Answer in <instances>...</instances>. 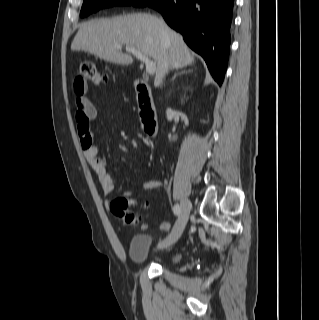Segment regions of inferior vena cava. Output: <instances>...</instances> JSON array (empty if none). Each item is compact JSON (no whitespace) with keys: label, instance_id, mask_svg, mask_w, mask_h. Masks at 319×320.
Listing matches in <instances>:
<instances>
[{"label":"inferior vena cava","instance_id":"602c4592","mask_svg":"<svg viewBox=\"0 0 319 320\" xmlns=\"http://www.w3.org/2000/svg\"><path fill=\"white\" fill-rule=\"evenodd\" d=\"M163 35H164V36H167V35H168V31H167V29H166L165 27L163 28Z\"/></svg>","mask_w":319,"mask_h":320}]
</instances>
